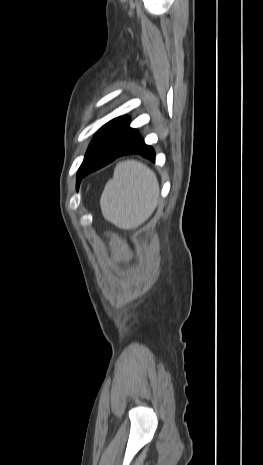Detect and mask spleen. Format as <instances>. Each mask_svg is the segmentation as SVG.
Returning a JSON list of instances; mask_svg holds the SVG:
<instances>
[{
  "instance_id": "spleen-1",
  "label": "spleen",
  "mask_w": 263,
  "mask_h": 465,
  "mask_svg": "<svg viewBox=\"0 0 263 465\" xmlns=\"http://www.w3.org/2000/svg\"><path fill=\"white\" fill-rule=\"evenodd\" d=\"M159 195L156 175L137 161L119 163L100 199L106 220L121 229H133L153 213Z\"/></svg>"
}]
</instances>
